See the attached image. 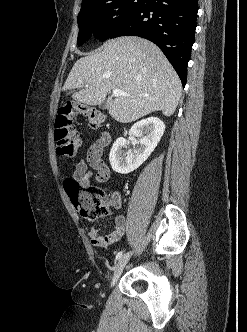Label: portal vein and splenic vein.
Segmentation results:
<instances>
[{"label": "portal vein and splenic vein", "mask_w": 247, "mask_h": 332, "mask_svg": "<svg viewBox=\"0 0 247 332\" xmlns=\"http://www.w3.org/2000/svg\"><path fill=\"white\" fill-rule=\"evenodd\" d=\"M86 87H88V85H86ZM112 95L114 96V97H119V96H129V94H127V93H124L122 90H120V89H114L113 91H112Z\"/></svg>", "instance_id": "obj_1"}]
</instances>
